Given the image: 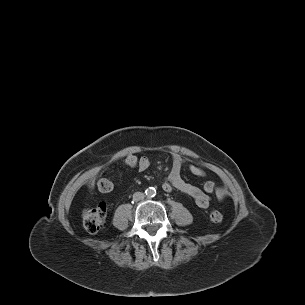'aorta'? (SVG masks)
<instances>
[{
    "label": "aorta",
    "mask_w": 305,
    "mask_h": 305,
    "mask_svg": "<svg viewBox=\"0 0 305 305\" xmlns=\"http://www.w3.org/2000/svg\"><path fill=\"white\" fill-rule=\"evenodd\" d=\"M155 193H156V191L153 187H150L146 190V195L147 196H153V195H155Z\"/></svg>",
    "instance_id": "1"
}]
</instances>
